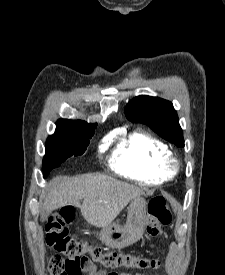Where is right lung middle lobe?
<instances>
[{
	"mask_svg": "<svg viewBox=\"0 0 225 275\" xmlns=\"http://www.w3.org/2000/svg\"><path fill=\"white\" fill-rule=\"evenodd\" d=\"M96 127L57 124L54 135L48 137L43 159L44 177L70 156L82 155L89 145Z\"/></svg>",
	"mask_w": 225,
	"mask_h": 275,
	"instance_id": "dd1d6c3e",
	"label": "right lung middle lobe"
}]
</instances>
